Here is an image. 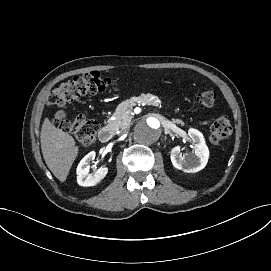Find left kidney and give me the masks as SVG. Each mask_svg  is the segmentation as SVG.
Returning a JSON list of instances; mask_svg holds the SVG:
<instances>
[{"label":"left kidney","instance_id":"left-kidney-1","mask_svg":"<svg viewBox=\"0 0 271 271\" xmlns=\"http://www.w3.org/2000/svg\"><path fill=\"white\" fill-rule=\"evenodd\" d=\"M189 137L196 142L194 153L182 156L181 147H174L171 151V161L174 167L184 172H195L205 166L209 160L210 152L205 137L196 128L188 129Z\"/></svg>","mask_w":271,"mask_h":271}]
</instances>
